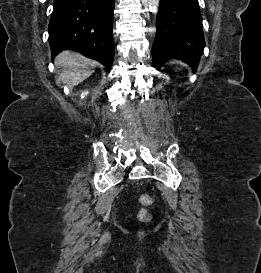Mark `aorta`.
Listing matches in <instances>:
<instances>
[{"label": "aorta", "instance_id": "aorta-1", "mask_svg": "<svg viewBox=\"0 0 261 273\" xmlns=\"http://www.w3.org/2000/svg\"><path fill=\"white\" fill-rule=\"evenodd\" d=\"M160 0H148L150 10L157 11L159 8Z\"/></svg>", "mask_w": 261, "mask_h": 273}]
</instances>
